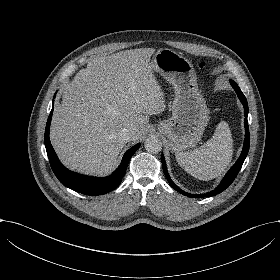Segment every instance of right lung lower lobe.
Here are the masks:
<instances>
[{"mask_svg":"<svg viewBox=\"0 0 280 280\" xmlns=\"http://www.w3.org/2000/svg\"><path fill=\"white\" fill-rule=\"evenodd\" d=\"M52 113L53 108L45 128V147L51 168L58 180L64 186L85 195L97 196L114 190L120 184L122 177L125 175L129 160L140 147V144H136L124 154L120 166L108 177L98 178L72 172L61 164L50 143L49 129Z\"/></svg>","mask_w":280,"mask_h":280,"instance_id":"obj_1","label":"right lung lower lobe"}]
</instances>
